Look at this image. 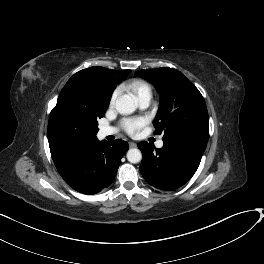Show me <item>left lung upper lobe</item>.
<instances>
[{"instance_id": "5c2ea615", "label": "left lung upper lobe", "mask_w": 264, "mask_h": 264, "mask_svg": "<svg viewBox=\"0 0 264 264\" xmlns=\"http://www.w3.org/2000/svg\"><path fill=\"white\" fill-rule=\"evenodd\" d=\"M134 76L148 79L160 94V107L154 121L155 134L163 140L183 135L209 137L208 112L199 90L178 70L162 67L139 70Z\"/></svg>"}]
</instances>
